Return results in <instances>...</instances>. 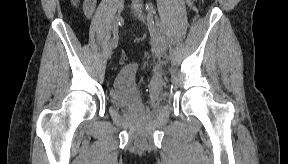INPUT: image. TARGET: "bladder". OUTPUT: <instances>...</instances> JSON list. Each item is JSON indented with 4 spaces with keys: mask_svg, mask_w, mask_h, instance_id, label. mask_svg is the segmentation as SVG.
I'll use <instances>...</instances> for the list:
<instances>
[{
    "mask_svg": "<svg viewBox=\"0 0 288 164\" xmlns=\"http://www.w3.org/2000/svg\"><path fill=\"white\" fill-rule=\"evenodd\" d=\"M135 70V65L130 64L121 67L114 75L109 90V98L114 106L133 109L145 104L146 99L135 80Z\"/></svg>",
    "mask_w": 288,
    "mask_h": 164,
    "instance_id": "1",
    "label": "bladder"
}]
</instances>
